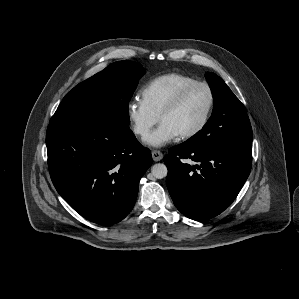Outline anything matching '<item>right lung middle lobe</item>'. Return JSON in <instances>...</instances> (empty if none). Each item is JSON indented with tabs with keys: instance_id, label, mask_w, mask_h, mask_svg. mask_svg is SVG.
I'll return each instance as SVG.
<instances>
[{
	"instance_id": "1",
	"label": "right lung middle lobe",
	"mask_w": 299,
	"mask_h": 299,
	"mask_svg": "<svg viewBox=\"0 0 299 299\" xmlns=\"http://www.w3.org/2000/svg\"><path fill=\"white\" fill-rule=\"evenodd\" d=\"M145 74L133 61H118L75 86L66 94L50 126H77L103 120L129 126V101Z\"/></svg>"
}]
</instances>
